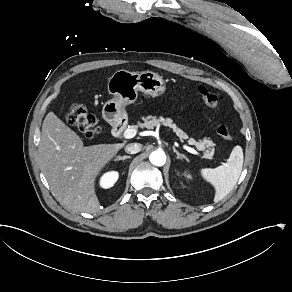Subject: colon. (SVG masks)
<instances>
[{
  "mask_svg": "<svg viewBox=\"0 0 292 292\" xmlns=\"http://www.w3.org/2000/svg\"><path fill=\"white\" fill-rule=\"evenodd\" d=\"M197 93L205 106L211 109H216L218 107V97L209 88L202 85L198 86ZM67 120L70 124L80 128L85 133L84 137L88 141L94 140L101 130L97 118L84 110L79 104L70 107ZM217 132L224 140L231 141L234 137L232 128L226 122L218 125Z\"/></svg>",
  "mask_w": 292,
  "mask_h": 292,
  "instance_id": "1",
  "label": "colon"
}]
</instances>
